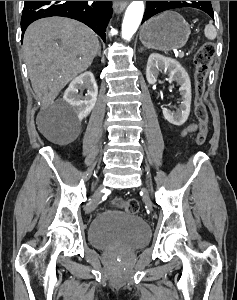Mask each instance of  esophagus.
<instances>
[{
	"mask_svg": "<svg viewBox=\"0 0 237 300\" xmlns=\"http://www.w3.org/2000/svg\"><path fill=\"white\" fill-rule=\"evenodd\" d=\"M127 5L128 1H113L114 12L119 14L126 8Z\"/></svg>",
	"mask_w": 237,
	"mask_h": 300,
	"instance_id": "1",
	"label": "esophagus"
}]
</instances>
